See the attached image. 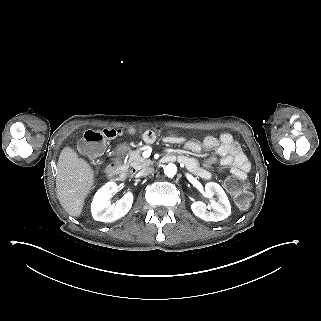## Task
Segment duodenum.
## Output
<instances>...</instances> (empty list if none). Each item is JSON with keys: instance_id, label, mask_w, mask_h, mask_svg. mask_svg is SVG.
I'll return each mask as SVG.
<instances>
[{"instance_id": "1", "label": "duodenum", "mask_w": 321, "mask_h": 321, "mask_svg": "<svg viewBox=\"0 0 321 321\" xmlns=\"http://www.w3.org/2000/svg\"><path fill=\"white\" fill-rule=\"evenodd\" d=\"M179 160L180 162L182 161L181 157H177L174 154L168 153L165 154L161 161L163 163H168V162H174L176 160ZM106 172L109 176L110 179L114 181H121L125 177V170L123 167L122 162L119 159H114L112 160L106 167Z\"/></svg>"}]
</instances>
